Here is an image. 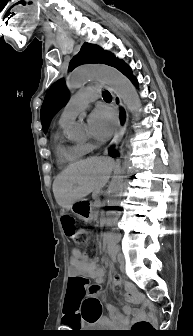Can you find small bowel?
I'll list each match as a JSON object with an SVG mask.
<instances>
[{"mask_svg": "<svg viewBox=\"0 0 193 336\" xmlns=\"http://www.w3.org/2000/svg\"><path fill=\"white\" fill-rule=\"evenodd\" d=\"M94 279L96 283L101 284L105 280V271L98 265L95 258H89L87 253L79 249H73L70 256L69 279L67 289L66 306L63 312L64 325L71 327L74 322L82 321L84 319L83 302L84 295L79 286V282L83 279ZM122 279L118 274L112 277V284L115 286L122 285ZM126 302L143 301L135 286L131 283L124 284ZM106 307L110 313L109 318H103L97 321L104 326L121 325L129 315H136L137 311L131 309L129 306L123 307V316L120 310L109 303Z\"/></svg>", "mask_w": 193, "mask_h": 336, "instance_id": "c3829d8e", "label": "small bowel"}]
</instances>
